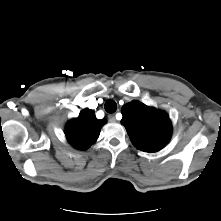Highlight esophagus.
Segmentation results:
<instances>
[{"instance_id":"obj_1","label":"esophagus","mask_w":221,"mask_h":221,"mask_svg":"<svg viewBox=\"0 0 221 221\" xmlns=\"http://www.w3.org/2000/svg\"><path fill=\"white\" fill-rule=\"evenodd\" d=\"M108 118H109V121H110L111 123H115V122H116V117H115L114 114L109 115Z\"/></svg>"}]
</instances>
